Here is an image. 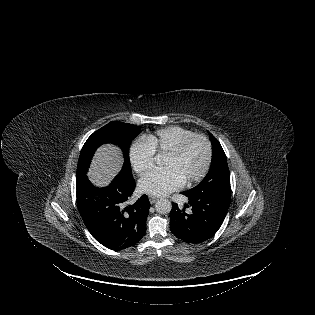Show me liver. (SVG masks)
<instances>
[{
  "mask_svg": "<svg viewBox=\"0 0 315 315\" xmlns=\"http://www.w3.org/2000/svg\"><path fill=\"white\" fill-rule=\"evenodd\" d=\"M123 163L121 152L112 145L102 146L96 153L88 176L97 186H106L120 171Z\"/></svg>",
  "mask_w": 315,
  "mask_h": 315,
  "instance_id": "1",
  "label": "liver"
}]
</instances>
